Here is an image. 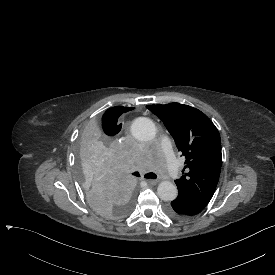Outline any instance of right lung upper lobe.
<instances>
[{
	"label": "right lung upper lobe",
	"mask_w": 275,
	"mask_h": 275,
	"mask_svg": "<svg viewBox=\"0 0 275 275\" xmlns=\"http://www.w3.org/2000/svg\"><path fill=\"white\" fill-rule=\"evenodd\" d=\"M132 109L134 108L118 106L110 108L105 112L102 123L110 136L116 135L121 130L122 124H119L118 122L120 115Z\"/></svg>",
	"instance_id": "obj_1"
}]
</instances>
